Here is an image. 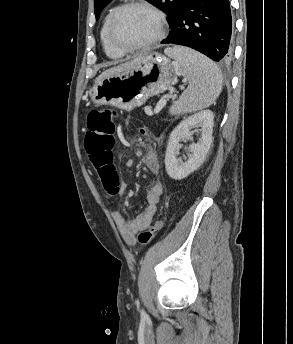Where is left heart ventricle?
<instances>
[{"label":"left heart ventricle","mask_w":293,"mask_h":344,"mask_svg":"<svg viewBox=\"0 0 293 344\" xmlns=\"http://www.w3.org/2000/svg\"><path fill=\"white\" fill-rule=\"evenodd\" d=\"M157 31V21L152 13L132 7L122 11L116 21L117 40L128 46L142 44L151 39Z\"/></svg>","instance_id":"left-heart-ventricle-1"}]
</instances>
